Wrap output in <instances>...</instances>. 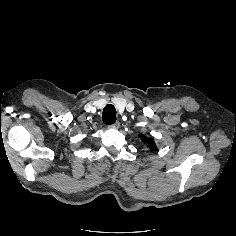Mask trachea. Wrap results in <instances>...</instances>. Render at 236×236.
Instances as JSON below:
<instances>
[{"instance_id":"1","label":"trachea","mask_w":236,"mask_h":236,"mask_svg":"<svg viewBox=\"0 0 236 236\" xmlns=\"http://www.w3.org/2000/svg\"><path fill=\"white\" fill-rule=\"evenodd\" d=\"M102 119L107 125H111L116 122V109L112 104L105 106L103 109Z\"/></svg>"}]
</instances>
